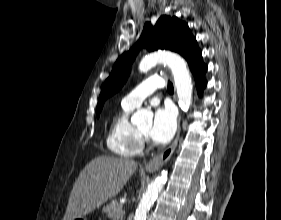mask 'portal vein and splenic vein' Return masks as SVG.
<instances>
[{"label": "portal vein and splenic vein", "mask_w": 281, "mask_h": 220, "mask_svg": "<svg viewBox=\"0 0 281 220\" xmlns=\"http://www.w3.org/2000/svg\"><path fill=\"white\" fill-rule=\"evenodd\" d=\"M123 214V211H121L120 213H118V216H121Z\"/></svg>", "instance_id": "1"}]
</instances>
